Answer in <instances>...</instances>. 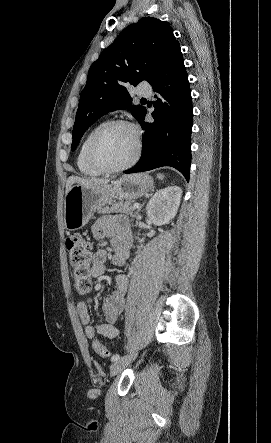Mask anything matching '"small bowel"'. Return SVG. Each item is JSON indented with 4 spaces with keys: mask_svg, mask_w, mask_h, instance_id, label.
I'll use <instances>...</instances> for the list:
<instances>
[{
    "mask_svg": "<svg viewBox=\"0 0 271 443\" xmlns=\"http://www.w3.org/2000/svg\"><path fill=\"white\" fill-rule=\"evenodd\" d=\"M92 234L96 240H109L115 250L113 263L122 266L130 260L131 234L126 225L115 220L111 216L99 218L92 226ZM107 252L100 248L95 252L92 265L93 277H99L105 273V262ZM129 280L126 275L117 274L115 276V288L105 298L102 306L104 321L93 325L90 318L88 306L85 302H79L77 312L79 319L84 326L85 334L89 339H94L96 335L106 338H115L119 335V328L116 323L123 311Z\"/></svg>",
    "mask_w": 271,
    "mask_h": 443,
    "instance_id": "c3829d8e",
    "label": "small bowel"
}]
</instances>
